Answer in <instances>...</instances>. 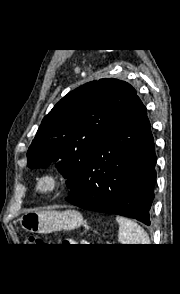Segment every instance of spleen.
Listing matches in <instances>:
<instances>
[{"instance_id":"spleen-1","label":"spleen","mask_w":180,"mask_h":294,"mask_svg":"<svg viewBox=\"0 0 180 294\" xmlns=\"http://www.w3.org/2000/svg\"><path fill=\"white\" fill-rule=\"evenodd\" d=\"M119 224L118 241L120 244H150L146 231L131 219L116 216Z\"/></svg>"}]
</instances>
